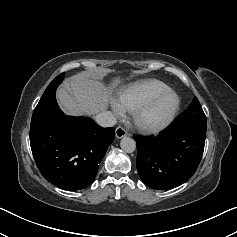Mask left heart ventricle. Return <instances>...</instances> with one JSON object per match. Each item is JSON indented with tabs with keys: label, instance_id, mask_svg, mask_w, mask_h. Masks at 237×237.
I'll return each instance as SVG.
<instances>
[{
	"label": "left heart ventricle",
	"instance_id": "left-heart-ventricle-1",
	"mask_svg": "<svg viewBox=\"0 0 237 237\" xmlns=\"http://www.w3.org/2000/svg\"><path fill=\"white\" fill-rule=\"evenodd\" d=\"M172 103L173 99L171 97L160 101L150 112L146 114V120L150 122L160 120L168 112Z\"/></svg>",
	"mask_w": 237,
	"mask_h": 237
}]
</instances>
